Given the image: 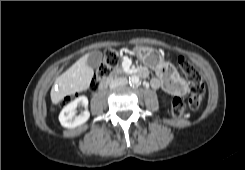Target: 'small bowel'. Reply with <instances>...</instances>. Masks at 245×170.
Returning <instances> with one entry per match:
<instances>
[{"label": "small bowel", "instance_id": "c3829d8e", "mask_svg": "<svg viewBox=\"0 0 245 170\" xmlns=\"http://www.w3.org/2000/svg\"><path fill=\"white\" fill-rule=\"evenodd\" d=\"M176 68L168 63L160 64L156 69V77L152 78L150 85L154 89L163 87L170 94H174L179 85H182Z\"/></svg>", "mask_w": 245, "mask_h": 170}]
</instances>
